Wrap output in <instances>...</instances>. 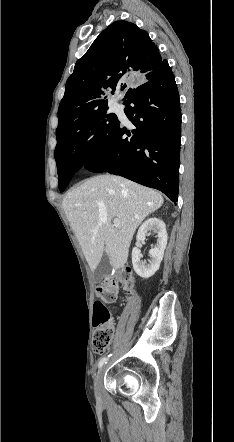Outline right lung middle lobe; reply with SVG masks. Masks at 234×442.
I'll list each match as a JSON object with an SVG mask.
<instances>
[{"label": "right lung middle lobe", "mask_w": 234, "mask_h": 442, "mask_svg": "<svg viewBox=\"0 0 234 442\" xmlns=\"http://www.w3.org/2000/svg\"><path fill=\"white\" fill-rule=\"evenodd\" d=\"M118 123L115 114L108 107L86 116L66 139L55 148L59 190L67 187L71 178L107 142Z\"/></svg>", "instance_id": "obj_1"}]
</instances>
